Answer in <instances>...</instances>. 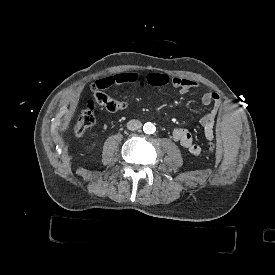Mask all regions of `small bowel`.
<instances>
[{"label": "small bowel", "instance_id": "c3829d8e", "mask_svg": "<svg viewBox=\"0 0 275 275\" xmlns=\"http://www.w3.org/2000/svg\"><path fill=\"white\" fill-rule=\"evenodd\" d=\"M102 88L110 85H136L141 87L158 88L171 84L179 89L181 94H186L192 89L199 87V84L193 80L170 76L164 72H150L145 76H141L136 72H121L114 76L104 79ZM201 103L204 106H211V110L205 114L200 124L204 130V135L212 142L215 135V120L221 109L222 102L218 93L214 91L205 92L201 96ZM174 141L178 142L183 148L189 151L190 154L198 156L201 154V147L194 142L192 134L183 128H177L172 133Z\"/></svg>", "mask_w": 275, "mask_h": 275}]
</instances>
